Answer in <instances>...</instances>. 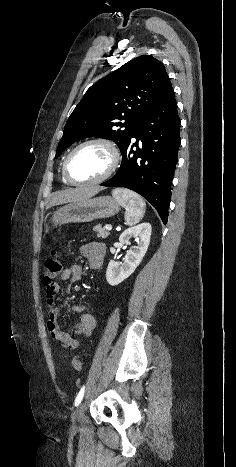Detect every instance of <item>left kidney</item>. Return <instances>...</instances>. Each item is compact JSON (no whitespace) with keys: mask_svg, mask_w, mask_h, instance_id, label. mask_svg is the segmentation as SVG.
<instances>
[{"mask_svg":"<svg viewBox=\"0 0 236 467\" xmlns=\"http://www.w3.org/2000/svg\"><path fill=\"white\" fill-rule=\"evenodd\" d=\"M151 225L142 223L125 230L119 237L122 245H129L130 239L137 240V246L127 251L124 262H115L111 260L106 271L107 282L111 286L120 284L127 279L139 266L149 246L151 236Z\"/></svg>","mask_w":236,"mask_h":467,"instance_id":"left-kidney-1","label":"left kidney"}]
</instances>
